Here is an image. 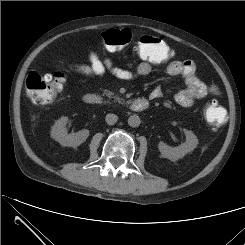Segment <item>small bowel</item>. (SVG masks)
<instances>
[{
  "label": "small bowel",
  "instance_id": "1",
  "mask_svg": "<svg viewBox=\"0 0 245 245\" xmlns=\"http://www.w3.org/2000/svg\"><path fill=\"white\" fill-rule=\"evenodd\" d=\"M70 68L86 77L92 78L101 76L109 71L122 80H134L149 75L153 67L148 62H141L136 70L131 71L113 66L109 59H101L94 52L89 53V65H70ZM166 71L171 76L182 77L185 87L174 95V101L183 106L191 107L207 95L216 94L214 86L207 85L201 81L197 75L196 65L190 60H174L167 64ZM162 95L160 88L154 89L150 97L159 98Z\"/></svg>",
  "mask_w": 245,
  "mask_h": 245
}]
</instances>
